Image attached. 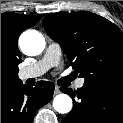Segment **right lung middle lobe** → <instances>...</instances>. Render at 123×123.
<instances>
[{
	"label": "right lung middle lobe",
	"instance_id": "obj_1",
	"mask_svg": "<svg viewBox=\"0 0 123 123\" xmlns=\"http://www.w3.org/2000/svg\"><path fill=\"white\" fill-rule=\"evenodd\" d=\"M6 69L5 63L1 60V73H3Z\"/></svg>",
	"mask_w": 123,
	"mask_h": 123
}]
</instances>
